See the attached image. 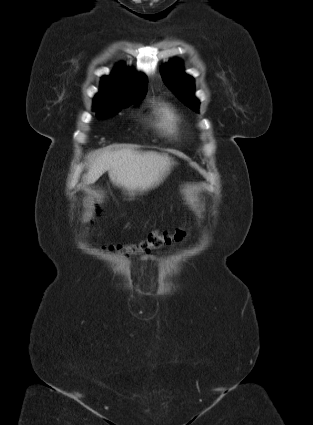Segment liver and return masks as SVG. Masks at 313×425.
I'll list each match as a JSON object with an SVG mask.
<instances>
[{"instance_id": "obj_1", "label": "liver", "mask_w": 313, "mask_h": 425, "mask_svg": "<svg viewBox=\"0 0 313 425\" xmlns=\"http://www.w3.org/2000/svg\"><path fill=\"white\" fill-rule=\"evenodd\" d=\"M166 154L154 151L120 149L104 151L89 166L87 184L95 183L106 171L110 180L130 196L157 187L170 173L172 162Z\"/></svg>"}]
</instances>
